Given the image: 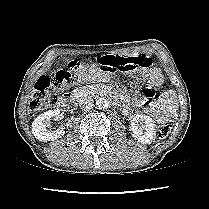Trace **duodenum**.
<instances>
[{
    "label": "duodenum",
    "instance_id": "410a0bca",
    "mask_svg": "<svg viewBox=\"0 0 209 209\" xmlns=\"http://www.w3.org/2000/svg\"><path fill=\"white\" fill-rule=\"evenodd\" d=\"M79 98V94L78 93H74L71 95H66L63 97L62 99V106L68 109H74L77 103V100Z\"/></svg>",
    "mask_w": 209,
    "mask_h": 209
}]
</instances>
